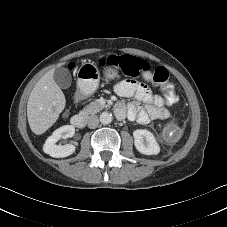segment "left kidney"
<instances>
[{
	"label": "left kidney",
	"instance_id": "1",
	"mask_svg": "<svg viewBox=\"0 0 227 227\" xmlns=\"http://www.w3.org/2000/svg\"><path fill=\"white\" fill-rule=\"evenodd\" d=\"M136 149L145 155H157L160 152L159 144L154 135L145 129H137L133 132Z\"/></svg>",
	"mask_w": 227,
	"mask_h": 227
}]
</instances>
